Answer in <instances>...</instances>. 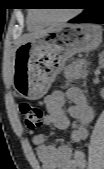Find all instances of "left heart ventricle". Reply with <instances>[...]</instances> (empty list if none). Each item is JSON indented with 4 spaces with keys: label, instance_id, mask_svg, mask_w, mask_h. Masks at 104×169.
<instances>
[{
    "label": "left heart ventricle",
    "instance_id": "1",
    "mask_svg": "<svg viewBox=\"0 0 104 169\" xmlns=\"http://www.w3.org/2000/svg\"><path fill=\"white\" fill-rule=\"evenodd\" d=\"M67 12L64 10H47L44 11L43 16L48 19H58L63 17Z\"/></svg>",
    "mask_w": 104,
    "mask_h": 169
}]
</instances>
